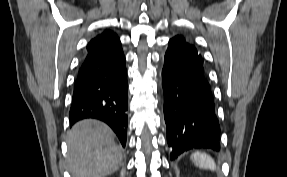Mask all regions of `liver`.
<instances>
[{
    "instance_id": "6515ba94",
    "label": "liver",
    "mask_w": 287,
    "mask_h": 177,
    "mask_svg": "<svg viewBox=\"0 0 287 177\" xmlns=\"http://www.w3.org/2000/svg\"><path fill=\"white\" fill-rule=\"evenodd\" d=\"M67 161L73 177H105L117 171L122 150L113 131L97 120L76 123L67 138Z\"/></svg>"
}]
</instances>
